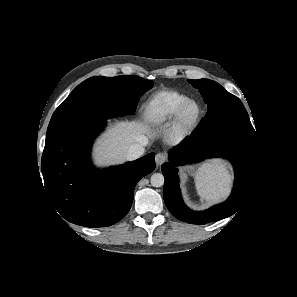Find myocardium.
I'll return each instance as SVG.
<instances>
[{"label":"myocardium","mask_w":297,"mask_h":297,"mask_svg":"<svg viewBox=\"0 0 297 297\" xmlns=\"http://www.w3.org/2000/svg\"><path fill=\"white\" fill-rule=\"evenodd\" d=\"M195 105L197 112L195 116L190 119H185V113L189 106ZM203 117V109L199 102L195 100H188L177 111L173 119V131L177 136L185 137L190 135L199 125Z\"/></svg>","instance_id":"1"}]
</instances>
